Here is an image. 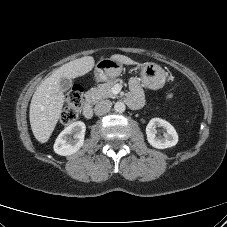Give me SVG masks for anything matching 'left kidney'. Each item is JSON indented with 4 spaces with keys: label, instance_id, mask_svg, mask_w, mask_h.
<instances>
[{
    "label": "left kidney",
    "instance_id": "5707ae66",
    "mask_svg": "<svg viewBox=\"0 0 227 227\" xmlns=\"http://www.w3.org/2000/svg\"><path fill=\"white\" fill-rule=\"evenodd\" d=\"M156 127H162L164 130L163 137L156 136ZM147 140L149 144L157 149L173 147L178 142V134L175 128L166 120L153 118L146 127Z\"/></svg>",
    "mask_w": 227,
    "mask_h": 227
}]
</instances>
